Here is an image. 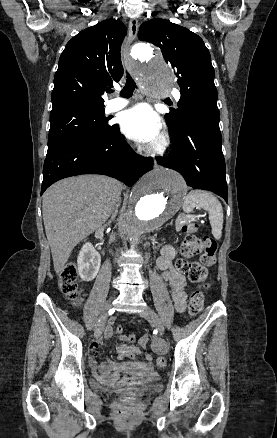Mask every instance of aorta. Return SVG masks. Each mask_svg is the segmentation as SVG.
Segmentation results:
<instances>
[{
	"instance_id": "762f6f07",
	"label": "aorta",
	"mask_w": 277,
	"mask_h": 438,
	"mask_svg": "<svg viewBox=\"0 0 277 438\" xmlns=\"http://www.w3.org/2000/svg\"><path fill=\"white\" fill-rule=\"evenodd\" d=\"M132 54L141 62L136 71L140 85L151 94H166L174 82L172 68L146 44H136ZM186 189L181 175L170 169L157 168L143 176L132 189L118 237L128 241L157 229L180 209Z\"/></svg>"
}]
</instances>
